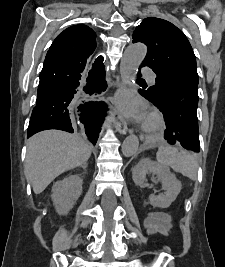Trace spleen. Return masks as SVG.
I'll return each instance as SVG.
<instances>
[{
  "label": "spleen",
  "mask_w": 225,
  "mask_h": 267,
  "mask_svg": "<svg viewBox=\"0 0 225 267\" xmlns=\"http://www.w3.org/2000/svg\"><path fill=\"white\" fill-rule=\"evenodd\" d=\"M156 159L159 164L171 167L175 172L181 173L190 180L197 179V160L184 150L178 151L174 147L163 145L159 147Z\"/></svg>",
  "instance_id": "spleen-1"
}]
</instances>
